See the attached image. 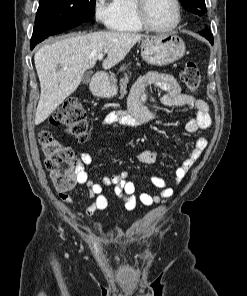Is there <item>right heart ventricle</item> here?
I'll list each match as a JSON object with an SVG mask.
<instances>
[{"instance_id":"1","label":"right heart ventricle","mask_w":247,"mask_h":296,"mask_svg":"<svg viewBox=\"0 0 247 296\" xmlns=\"http://www.w3.org/2000/svg\"><path fill=\"white\" fill-rule=\"evenodd\" d=\"M134 0H114L116 17L111 26L118 32H141L142 26L138 23L134 13Z\"/></svg>"}]
</instances>
